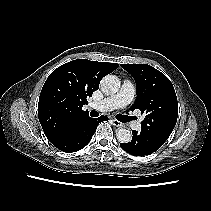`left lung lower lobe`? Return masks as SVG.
Returning <instances> with one entry per match:
<instances>
[{
  "label": "left lung lower lobe",
  "mask_w": 211,
  "mask_h": 211,
  "mask_svg": "<svg viewBox=\"0 0 211 211\" xmlns=\"http://www.w3.org/2000/svg\"><path fill=\"white\" fill-rule=\"evenodd\" d=\"M132 140L128 143H121V148L134 156H144L157 151L163 143L142 132L132 130Z\"/></svg>",
  "instance_id": "left-lung-lower-lobe-1"
}]
</instances>
